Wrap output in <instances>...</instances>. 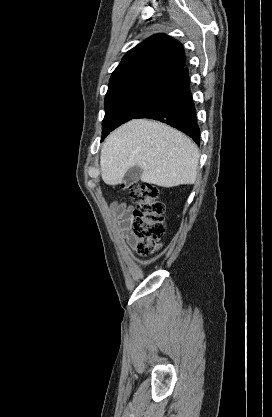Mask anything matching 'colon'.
Returning <instances> with one entry per match:
<instances>
[{
	"instance_id": "colon-1",
	"label": "colon",
	"mask_w": 272,
	"mask_h": 417,
	"mask_svg": "<svg viewBox=\"0 0 272 417\" xmlns=\"http://www.w3.org/2000/svg\"><path fill=\"white\" fill-rule=\"evenodd\" d=\"M130 191L135 204L130 230L137 241L138 252L149 255L159 248L165 233V205L159 200V190L153 184L136 183Z\"/></svg>"
}]
</instances>
